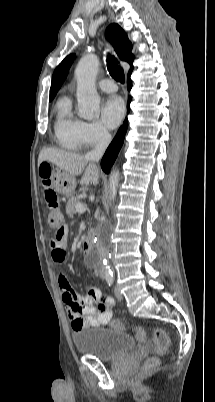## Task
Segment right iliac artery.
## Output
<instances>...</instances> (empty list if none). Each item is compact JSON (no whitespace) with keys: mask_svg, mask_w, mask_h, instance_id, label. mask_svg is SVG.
I'll return each mask as SVG.
<instances>
[{"mask_svg":"<svg viewBox=\"0 0 215 402\" xmlns=\"http://www.w3.org/2000/svg\"><path fill=\"white\" fill-rule=\"evenodd\" d=\"M107 283L109 284V286H111L113 284V278H107Z\"/></svg>","mask_w":215,"mask_h":402,"instance_id":"1","label":"right iliac artery"}]
</instances>
